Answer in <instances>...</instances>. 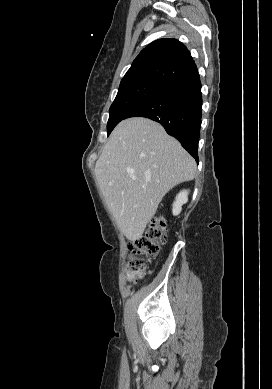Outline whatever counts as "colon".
I'll list each match as a JSON object with an SVG mask.
<instances>
[{
  "label": "colon",
  "instance_id": "obj_1",
  "mask_svg": "<svg viewBox=\"0 0 272 389\" xmlns=\"http://www.w3.org/2000/svg\"><path fill=\"white\" fill-rule=\"evenodd\" d=\"M167 240L166 223L163 218H154L146 232L134 240L130 248V258L127 263L128 281L142 280L147 275L146 259L155 256Z\"/></svg>",
  "mask_w": 272,
  "mask_h": 389
}]
</instances>
